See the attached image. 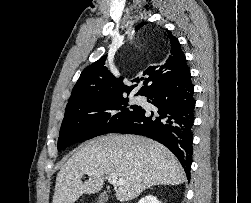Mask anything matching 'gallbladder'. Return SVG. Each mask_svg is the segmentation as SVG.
I'll use <instances>...</instances> for the list:
<instances>
[{"label":"gallbladder","instance_id":"gallbladder-1","mask_svg":"<svg viewBox=\"0 0 251 203\" xmlns=\"http://www.w3.org/2000/svg\"><path fill=\"white\" fill-rule=\"evenodd\" d=\"M108 200V193L104 191L101 193L97 199V203H105Z\"/></svg>","mask_w":251,"mask_h":203}]
</instances>
